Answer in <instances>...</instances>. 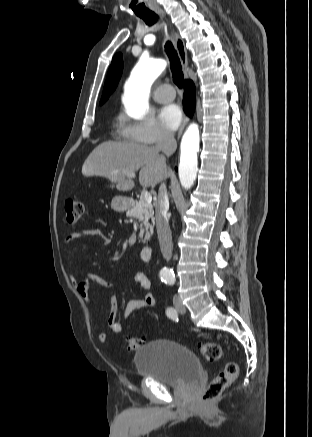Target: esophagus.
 I'll use <instances>...</instances> for the list:
<instances>
[{"instance_id":"1","label":"esophagus","mask_w":312,"mask_h":437,"mask_svg":"<svg viewBox=\"0 0 312 437\" xmlns=\"http://www.w3.org/2000/svg\"><path fill=\"white\" fill-rule=\"evenodd\" d=\"M159 15H161L162 17H165V14L163 12H159ZM174 38H175V47H176V50H177V53H178V56H179V59L181 62V66H182L183 72L185 74V78L187 79L188 78V74H187L188 60H187V51L185 48V44H184V41L182 40V38L176 32L174 33ZM187 122H188V117L185 115L183 118V121L181 123V126L179 128V131H178V136H177L178 139L182 135Z\"/></svg>"}]
</instances>
